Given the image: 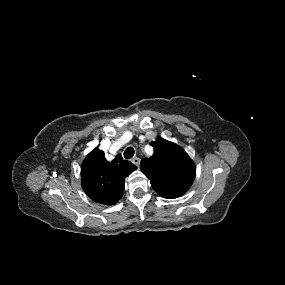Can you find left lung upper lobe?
Here are the masks:
<instances>
[{
	"label": "left lung upper lobe",
	"mask_w": 285,
	"mask_h": 285,
	"mask_svg": "<svg viewBox=\"0 0 285 285\" xmlns=\"http://www.w3.org/2000/svg\"><path fill=\"white\" fill-rule=\"evenodd\" d=\"M154 154L141 161L140 169L158 193L184 194L192 185L196 167L183 148L166 139L152 142Z\"/></svg>",
	"instance_id": "left-lung-upper-lobe-1"
}]
</instances>
